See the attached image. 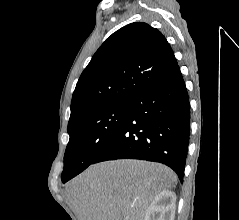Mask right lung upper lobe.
Returning a JSON list of instances; mask_svg holds the SVG:
<instances>
[{
	"label": "right lung upper lobe",
	"instance_id": "cb5924a9",
	"mask_svg": "<svg viewBox=\"0 0 239 220\" xmlns=\"http://www.w3.org/2000/svg\"><path fill=\"white\" fill-rule=\"evenodd\" d=\"M177 65L169 43L157 29L141 22L122 27L100 46L82 72L69 124L88 113L129 104Z\"/></svg>",
	"mask_w": 239,
	"mask_h": 220
}]
</instances>
